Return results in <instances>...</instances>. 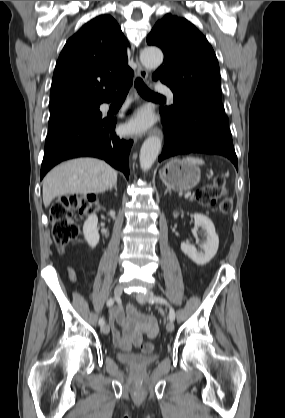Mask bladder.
<instances>
[{"label":"bladder","instance_id":"bladder-1","mask_svg":"<svg viewBox=\"0 0 285 418\" xmlns=\"http://www.w3.org/2000/svg\"><path fill=\"white\" fill-rule=\"evenodd\" d=\"M119 361L134 367H147L156 361L153 353H138L134 350L118 351Z\"/></svg>","mask_w":285,"mask_h":418}]
</instances>
